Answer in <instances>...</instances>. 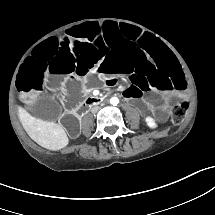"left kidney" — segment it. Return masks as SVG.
Returning a JSON list of instances; mask_svg holds the SVG:
<instances>
[{"label": "left kidney", "instance_id": "left-kidney-1", "mask_svg": "<svg viewBox=\"0 0 215 215\" xmlns=\"http://www.w3.org/2000/svg\"><path fill=\"white\" fill-rule=\"evenodd\" d=\"M146 121H147V125L150 128H155L157 126L156 123L154 122V120L152 118H147Z\"/></svg>", "mask_w": 215, "mask_h": 215}]
</instances>
